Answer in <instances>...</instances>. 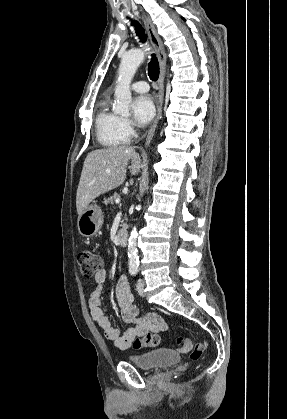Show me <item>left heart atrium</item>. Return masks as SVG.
Instances as JSON below:
<instances>
[{"mask_svg":"<svg viewBox=\"0 0 287 419\" xmlns=\"http://www.w3.org/2000/svg\"><path fill=\"white\" fill-rule=\"evenodd\" d=\"M132 113L135 121L143 126L155 115V104L151 96L140 95L132 103Z\"/></svg>","mask_w":287,"mask_h":419,"instance_id":"39dd6f15","label":"left heart atrium"}]
</instances>
